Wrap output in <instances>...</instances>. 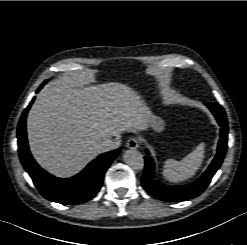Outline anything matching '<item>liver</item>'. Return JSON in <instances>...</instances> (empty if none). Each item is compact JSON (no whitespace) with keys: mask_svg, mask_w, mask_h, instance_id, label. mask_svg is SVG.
<instances>
[{"mask_svg":"<svg viewBox=\"0 0 247 245\" xmlns=\"http://www.w3.org/2000/svg\"><path fill=\"white\" fill-rule=\"evenodd\" d=\"M144 119V104L127 85L58 82L39 93L29 111V145L42 168L67 178L103 151L107 136L138 129Z\"/></svg>","mask_w":247,"mask_h":245,"instance_id":"6515ba94","label":"liver"}]
</instances>
